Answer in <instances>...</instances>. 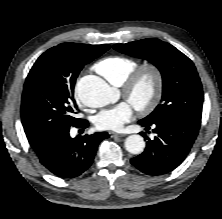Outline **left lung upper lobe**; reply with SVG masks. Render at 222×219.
<instances>
[{
  "label": "left lung upper lobe",
  "instance_id": "1",
  "mask_svg": "<svg viewBox=\"0 0 222 219\" xmlns=\"http://www.w3.org/2000/svg\"><path fill=\"white\" fill-rule=\"evenodd\" d=\"M113 48L148 60L162 74V102L142 121L180 117L200 125L203 89L196 68L187 56L171 44L155 38L117 44Z\"/></svg>",
  "mask_w": 222,
  "mask_h": 219
}]
</instances>
